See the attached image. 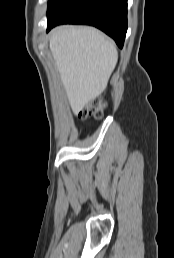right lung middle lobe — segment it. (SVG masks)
I'll return each instance as SVG.
<instances>
[{
    "instance_id": "obj_1",
    "label": "right lung middle lobe",
    "mask_w": 174,
    "mask_h": 258,
    "mask_svg": "<svg viewBox=\"0 0 174 258\" xmlns=\"http://www.w3.org/2000/svg\"><path fill=\"white\" fill-rule=\"evenodd\" d=\"M66 0H49L47 18L49 19L65 2Z\"/></svg>"
}]
</instances>
